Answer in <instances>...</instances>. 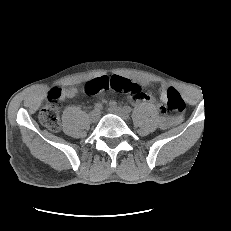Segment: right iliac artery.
<instances>
[{
  "mask_svg": "<svg viewBox=\"0 0 231 231\" xmlns=\"http://www.w3.org/2000/svg\"><path fill=\"white\" fill-rule=\"evenodd\" d=\"M102 108H103V106H102V104L101 103H97V104H95V106H94V110L95 111H100V110H102Z\"/></svg>",
  "mask_w": 231,
  "mask_h": 231,
  "instance_id": "1",
  "label": "right iliac artery"
}]
</instances>
